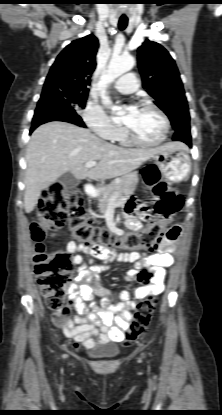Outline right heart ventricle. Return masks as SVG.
<instances>
[{
	"instance_id": "right-heart-ventricle-1",
	"label": "right heart ventricle",
	"mask_w": 222,
	"mask_h": 415,
	"mask_svg": "<svg viewBox=\"0 0 222 415\" xmlns=\"http://www.w3.org/2000/svg\"><path fill=\"white\" fill-rule=\"evenodd\" d=\"M115 141H118L119 143L123 145H130L132 142L127 138L124 131L121 129V131L117 134V136L114 139Z\"/></svg>"
}]
</instances>
